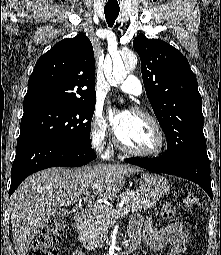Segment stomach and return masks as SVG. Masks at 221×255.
Here are the masks:
<instances>
[{"instance_id": "obj_1", "label": "stomach", "mask_w": 221, "mask_h": 255, "mask_svg": "<svg viewBox=\"0 0 221 255\" xmlns=\"http://www.w3.org/2000/svg\"><path fill=\"white\" fill-rule=\"evenodd\" d=\"M170 190L169 182L157 174H144L139 182L141 195L151 201L160 199Z\"/></svg>"}]
</instances>
